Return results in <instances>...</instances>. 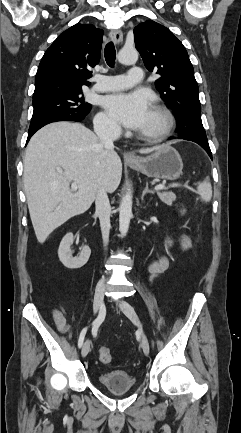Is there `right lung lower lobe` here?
<instances>
[{
	"mask_svg": "<svg viewBox=\"0 0 241 433\" xmlns=\"http://www.w3.org/2000/svg\"><path fill=\"white\" fill-rule=\"evenodd\" d=\"M84 118H85V116H82V117H74V116H68V115H65V116H61V117L55 118V119H53V120H51V121H49V122H47V123H45V124L39 126L37 129H35V130H33V131H29V132H28L27 143H28L29 139L31 138V136H32V135H33L37 130H39L41 127H43V126H45V125H47V124H49V123L57 122V121H76V122H79V121L83 120Z\"/></svg>",
	"mask_w": 241,
	"mask_h": 433,
	"instance_id": "98d812e1",
	"label": "right lung lower lobe"
}]
</instances>
